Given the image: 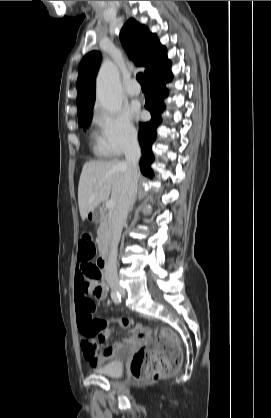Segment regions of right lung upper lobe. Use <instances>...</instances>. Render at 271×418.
I'll list each match as a JSON object with an SVG mask.
<instances>
[{"label": "right lung upper lobe", "mask_w": 271, "mask_h": 418, "mask_svg": "<svg viewBox=\"0 0 271 418\" xmlns=\"http://www.w3.org/2000/svg\"><path fill=\"white\" fill-rule=\"evenodd\" d=\"M124 47L131 49V58L137 66L145 67V77L153 73L167 60L166 48L161 45L156 34L148 28L129 19L120 34ZM101 54L93 51L80 62L77 79V113L78 116L92 111L95 102V79L100 66Z\"/></svg>", "instance_id": "obj_1"}]
</instances>
